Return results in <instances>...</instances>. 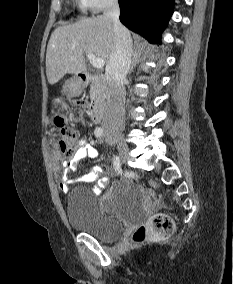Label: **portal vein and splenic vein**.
Returning <instances> with one entry per match:
<instances>
[{
	"label": "portal vein and splenic vein",
	"mask_w": 233,
	"mask_h": 284,
	"mask_svg": "<svg viewBox=\"0 0 233 284\" xmlns=\"http://www.w3.org/2000/svg\"><path fill=\"white\" fill-rule=\"evenodd\" d=\"M87 58L90 60V62L92 63L93 67L96 69H101L103 68L105 62L102 58L95 56L92 53H88L87 54Z\"/></svg>",
	"instance_id": "1"
}]
</instances>
